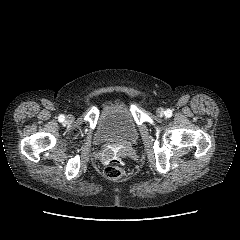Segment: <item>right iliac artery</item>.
Returning a JSON list of instances; mask_svg holds the SVG:
<instances>
[{
    "label": "right iliac artery",
    "mask_w": 240,
    "mask_h": 240,
    "mask_svg": "<svg viewBox=\"0 0 240 240\" xmlns=\"http://www.w3.org/2000/svg\"><path fill=\"white\" fill-rule=\"evenodd\" d=\"M58 119H59L60 122H63L65 120V116L64 115H60L58 117Z\"/></svg>",
    "instance_id": "82829eb1"
}]
</instances>
